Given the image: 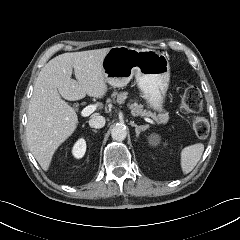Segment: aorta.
Returning <instances> with one entry per match:
<instances>
[{
	"label": "aorta",
	"instance_id": "aorta-1",
	"mask_svg": "<svg viewBox=\"0 0 240 240\" xmlns=\"http://www.w3.org/2000/svg\"><path fill=\"white\" fill-rule=\"evenodd\" d=\"M127 136L126 128L123 125H115L111 129V137L116 141H123Z\"/></svg>",
	"mask_w": 240,
	"mask_h": 240
}]
</instances>
